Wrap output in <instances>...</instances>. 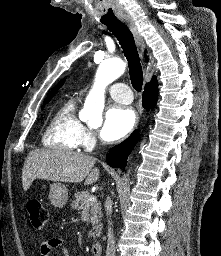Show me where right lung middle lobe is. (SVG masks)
<instances>
[{"instance_id": "1", "label": "right lung middle lobe", "mask_w": 221, "mask_h": 256, "mask_svg": "<svg viewBox=\"0 0 221 256\" xmlns=\"http://www.w3.org/2000/svg\"><path fill=\"white\" fill-rule=\"evenodd\" d=\"M52 97H53V95H51L50 97L46 98V100L44 101V104L48 103Z\"/></svg>"}]
</instances>
